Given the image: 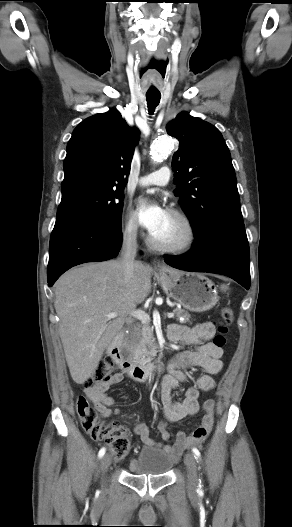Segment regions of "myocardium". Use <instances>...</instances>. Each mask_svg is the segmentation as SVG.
Wrapping results in <instances>:
<instances>
[{"mask_svg":"<svg viewBox=\"0 0 292 527\" xmlns=\"http://www.w3.org/2000/svg\"><path fill=\"white\" fill-rule=\"evenodd\" d=\"M167 213L178 219L184 227V237L179 242L165 244L156 241L151 235L148 236L147 242L153 249L172 254H180L189 251L195 244L197 233L192 219L182 210L176 208L168 209Z\"/></svg>","mask_w":292,"mask_h":527,"instance_id":"obj_1","label":"myocardium"}]
</instances>
